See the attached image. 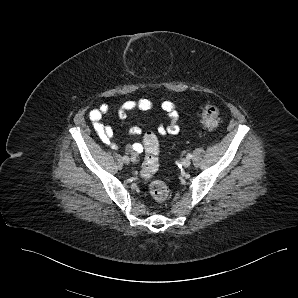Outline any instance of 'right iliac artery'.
Returning a JSON list of instances; mask_svg holds the SVG:
<instances>
[{
  "instance_id": "right-iliac-artery-1",
  "label": "right iliac artery",
  "mask_w": 298,
  "mask_h": 298,
  "mask_svg": "<svg viewBox=\"0 0 298 298\" xmlns=\"http://www.w3.org/2000/svg\"><path fill=\"white\" fill-rule=\"evenodd\" d=\"M136 160H137V159H136L135 156H132V157H131V161H132V162H136Z\"/></svg>"
}]
</instances>
